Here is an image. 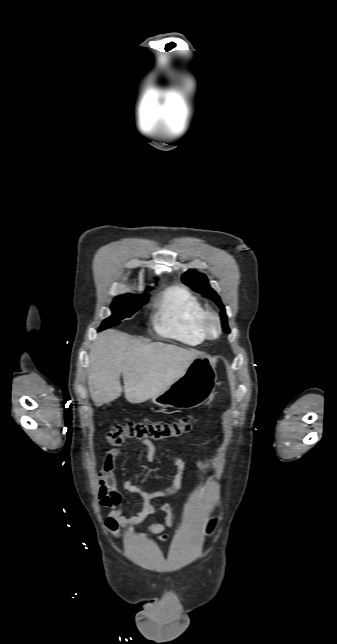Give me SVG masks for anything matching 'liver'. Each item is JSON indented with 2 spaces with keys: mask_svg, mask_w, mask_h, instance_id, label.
<instances>
[{
  "mask_svg": "<svg viewBox=\"0 0 337 644\" xmlns=\"http://www.w3.org/2000/svg\"><path fill=\"white\" fill-rule=\"evenodd\" d=\"M201 355L176 345L140 340L117 330H106L93 343L88 369V388L95 406L111 402L122 393L132 404L147 401L170 387Z\"/></svg>",
  "mask_w": 337,
  "mask_h": 644,
  "instance_id": "liver-1",
  "label": "liver"
}]
</instances>
